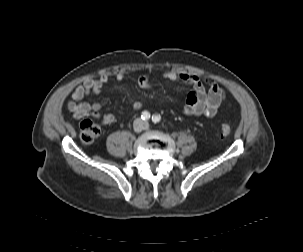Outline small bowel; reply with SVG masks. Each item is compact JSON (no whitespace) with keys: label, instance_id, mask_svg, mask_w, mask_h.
I'll list each match as a JSON object with an SVG mask.
<instances>
[{"label":"small bowel","instance_id":"small-bowel-1","mask_svg":"<svg viewBox=\"0 0 303 252\" xmlns=\"http://www.w3.org/2000/svg\"><path fill=\"white\" fill-rule=\"evenodd\" d=\"M163 77L170 82L189 86L192 91L188 94L185 104L182 107V113L186 116H207L215 117L223 103H227L225 90L215 81L207 80L205 87L204 81L192 74L166 70ZM112 75L104 73L98 78H87L81 85L76 86L72 93L71 99L67 102V108L74 119H81L91 116L98 119L102 124L107 125L114 121L112 114H100V103H89L86 101L87 96L92 93H98L105 85L110 84ZM125 79V73L120 71L115 75V81L121 84ZM138 85L143 89H150L151 82L149 73L144 72L137 79ZM140 102L133 103V110H140Z\"/></svg>","mask_w":303,"mask_h":252}]
</instances>
